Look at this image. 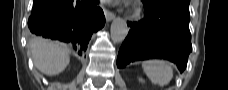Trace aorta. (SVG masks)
Returning <instances> with one entry per match:
<instances>
[{
	"instance_id": "obj_1",
	"label": "aorta",
	"mask_w": 228,
	"mask_h": 90,
	"mask_svg": "<svg viewBox=\"0 0 228 90\" xmlns=\"http://www.w3.org/2000/svg\"><path fill=\"white\" fill-rule=\"evenodd\" d=\"M111 39L115 43L123 42L128 34V26L125 20L116 18L111 24Z\"/></svg>"
}]
</instances>
